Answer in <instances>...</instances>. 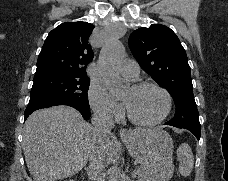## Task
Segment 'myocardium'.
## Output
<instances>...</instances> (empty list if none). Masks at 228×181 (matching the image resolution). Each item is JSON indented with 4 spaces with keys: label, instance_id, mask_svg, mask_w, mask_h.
I'll list each match as a JSON object with an SVG mask.
<instances>
[{
    "label": "myocardium",
    "instance_id": "obj_1",
    "mask_svg": "<svg viewBox=\"0 0 228 181\" xmlns=\"http://www.w3.org/2000/svg\"><path fill=\"white\" fill-rule=\"evenodd\" d=\"M146 87L154 88L162 95L164 104H163V108H162L160 114L157 117L150 119V120H141L132 114V112L130 111L128 106H126V113H127L128 118L137 125L154 126V125L160 123L162 120H164L166 118V116L168 115V113L170 111V107H171V98H170L168 92L155 82L133 81V80L131 81L132 89L137 90V89H142V88H146Z\"/></svg>",
    "mask_w": 228,
    "mask_h": 181
}]
</instances>
